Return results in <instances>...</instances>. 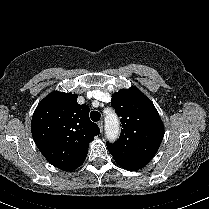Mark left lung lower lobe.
Wrapping results in <instances>:
<instances>
[{
  "label": "left lung lower lobe",
  "instance_id": "0a47b994",
  "mask_svg": "<svg viewBox=\"0 0 209 209\" xmlns=\"http://www.w3.org/2000/svg\"><path fill=\"white\" fill-rule=\"evenodd\" d=\"M118 163V162H117ZM121 167L130 170V171H135L138 170L142 167H144L143 165L140 164H136V163H118Z\"/></svg>",
  "mask_w": 209,
  "mask_h": 209
}]
</instances>
